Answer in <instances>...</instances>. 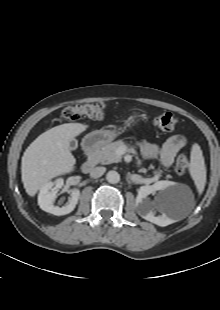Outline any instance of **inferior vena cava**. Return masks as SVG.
<instances>
[{"label":"inferior vena cava","instance_id":"602c4592","mask_svg":"<svg viewBox=\"0 0 220 310\" xmlns=\"http://www.w3.org/2000/svg\"><path fill=\"white\" fill-rule=\"evenodd\" d=\"M105 171H106L105 167H95L90 172V176L92 178H99V177H101L105 173Z\"/></svg>","mask_w":220,"mask_h":310}]
</instances>
